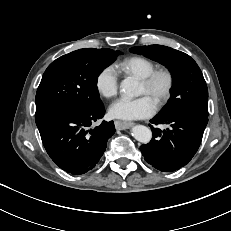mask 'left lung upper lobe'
<instances>
[{
    "instance_id": "obj_1",
    "label": "left lung upper lobe",
    "mask_w": 231,
    "mask_h": 231,
    "mask_svg": "<svg viewBox=\"0 0 231 231\" xmlns=\"http://www.w3.org/2000/svg\"><path fill=\"white\" fill-rule=\"evenodd\" d=\"M130 51L163 64L173 75L171 98L158 115L190 112L208 117L207 85L200 68L189 55L162 45L132 47Z\"/></svg>"
}]
</instances>
